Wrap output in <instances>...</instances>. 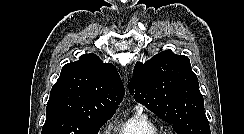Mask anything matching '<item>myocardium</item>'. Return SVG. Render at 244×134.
<instances>
[{"label":"myocardium","mask_w":244,"mask_h":134,"mask_svg":"<svg viewBox=\"0 0 244 134\" xmlns=\"http://www.w3.org/2000/svg\"><path fill=\"white\" fill-rule=\"evenodd\" d=\"M158 134H175V133H172V132H163V131H159Z\"/></svg>","instance_id":"obj_1"}]
</instances>
